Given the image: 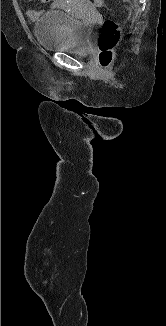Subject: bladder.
Wrapping results in <instances>:
<instances>
[{
  "mask_svg": "<svg viewBox=\"0 0 166 326\" xmlns=\"http://www.w3.org/2000/svg\"><path fill=\"white\" fill-rule=\"evenodd\" d=\"M85 13L98 14L97 10L79 0ZM40 46L48 51L71 52L86 56L91 53V28L83 20L60 10L46 11L34 25Z\"/></svg>",
  "mask_w": 166,
  "mask_h": 326,
  "instance_id": "1",
  "label": "bladder"
}]
</instances>
